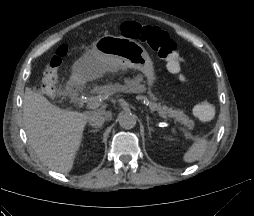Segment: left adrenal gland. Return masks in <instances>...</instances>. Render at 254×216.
I'll return each mask as SVG.
<instances>
[{"instance_id": "left-adrenal-gland-1", "label": "left adrenal gland", "mask_w": 254, "mask_h": 216, "mask_svg": "<svg viewBox=\"0 0 254 216\" xmlns=\"http://www.w3.org/2000/svg\"><path fill=\"white\" fill-rule=\"evenodd\" d=\"M146 120H147V127H148V131H149V135L151 136L152 129H151L150 123H149V120H150L149 116H146Z\"/></svg>"}]
</instances>
